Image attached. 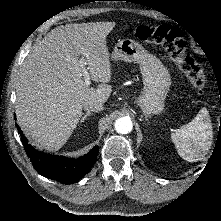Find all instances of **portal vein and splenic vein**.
Wrapping results in <instances>:
<instances>
[{
    "label": "portal vein and splenic vein",
    "instance_id": "obj_1",
    "mask_svg": "<svg viewBox=\"0 0 221 221\" xmlns=\"http://www.w3.org/2000/svg\"><path fill=\"white\" fill-rule=\"evenodd\" d=\"M80 63H81V69H82L83 77H84V80H85V85L89 86L91 84L90 75H89L87 69L84 67L82 59L80 60Z\"/></svg>",
    "mask_w": 221,
    "mask_h": 221
}]
</instances>
